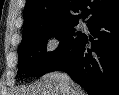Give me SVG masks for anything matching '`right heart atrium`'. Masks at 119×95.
Returning a JSON list of instances; mask_svg holds the SVG:
<instances>
[{
    "label": "right heart atrium",
    "instance_id": "1",
    "mask_svg": "<svg viewBox=\"0 0 119 95\" xmlns=\"http://www.w3.org/2000/svg\"><path fill=\"white\" fill-rule=\"evenodd\" d=\"M59 45V39L56 36H51L46 42L47 52H53Z\"/></svg>",
    "mask_w": 119,
    "mask_h": 95
}]
</instances>
